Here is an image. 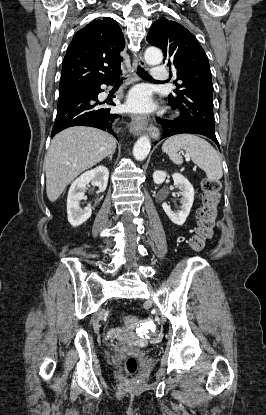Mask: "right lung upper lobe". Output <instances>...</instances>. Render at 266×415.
Returning a JSON list of instances; mask_svg holds the SVG:
<instances>
[{"mask_svg": "<svg viewBox=\"0 0 266 415\" xmlns=\"http://www.w3.org/2000/svg\"><path fill=\"white\" fill-rule=\"evenodd\" d=\"M125 42L115 20H96L73 37L62 65L59 93H67L96 83L110 81L120 74V52Z\"/></svg>", "mask_w": 266, "mask_h": 415, "instance_id": "obj_1", "label": "right lung upper lobe"}]
</instances>
